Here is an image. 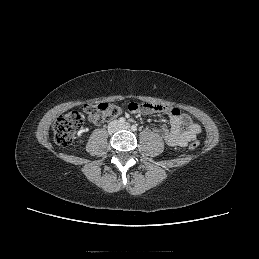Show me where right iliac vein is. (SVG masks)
<instances>
[{
	"instance_id": "right-iliac-vein-1",
	"label": "right iliac vein",
	"mask_w": 259,
	"mask_h": 259,
	"mask_svg": "<svg viewBox=\"0 0 259 259\" xmlns=\"http://www.w3.org/2000/svg\"><path fill=\"white\" fill-rule=\"evenodd\" d=\"M118 127H119V124H118L117 122H113V123L111 124V128H112L113 130H116Z\"/></svg>"
}]
</instances>
